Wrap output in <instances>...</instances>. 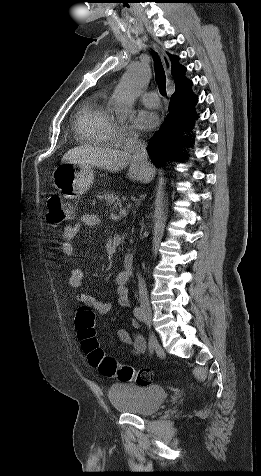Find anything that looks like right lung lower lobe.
I'll return each instance as SVG.
<instances>
[{
    "mask_svg": "<svg viewBox=\"0 0 261 476\" xmlns=\"http://www.w3.org/2000/svg\"><path fill=\"white\" fill-rule=\"evenodd\" d=\"M190 86L191 82L186 79L175 88L169 104V114L148 145L147 150L156 166L164 165L168 158H186V153L180 149L190 145L191 134L188 137L184 133L192 132L197 118L194 112L197 97L191 94Z\"/></svg>",
    "mask_w": 261,
    "mask_h": 476,
    "instance_id": "98d812e1",
    "label": "right lung lower lobe"
}]
</instances>
